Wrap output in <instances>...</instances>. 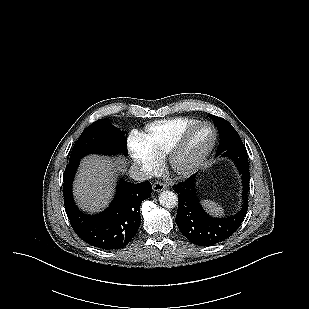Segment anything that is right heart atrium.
Here are the masks:
<instances>
[{"instance_id": "obj_1", "label": "right heart atrium", "mask_w": 309, "mask_h": 309, "mask_svg": "<svg viewBox=\"0 0 309 309\" xmlns=\"http://www.w3.org/2000/svg\"><path fill=\"white\" fill-rule=\"evenodd\" d=\"M129 151L134 165L140 169L143 176L151 177L157 172L159 159L142 146L138 141V137L130 139Z\"/></svg>"}]
</instances>
